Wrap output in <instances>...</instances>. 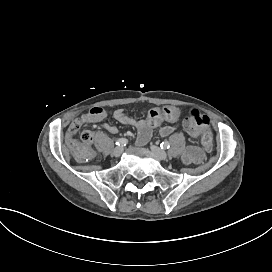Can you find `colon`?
<instances>
[{
    "label": "colon",
    "mask_w": 272,
    "mask_h": 272,
    "mask_svg": "<svg viewBox=\"0 0 272 272\" xmlns=\"http://www.w3.org/2000/svg\"><path fill=\"white\" fill-rule=\"evenodd\" d=\"M183 124L190 136L195 138L202 137L204 145L207 148H211L213 140L211 133L209 132L210 121L208 117L204 116V112L201 108H190ZM77 132V125H73L70 129V134L76 135ZM80 136L82 141L85 143H89L91 141V133L88 131L82 132Z\"/></svg>",
    "instance_id": "1"
}]
</instances>
